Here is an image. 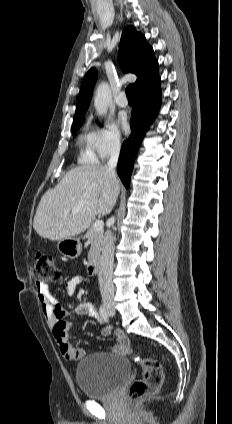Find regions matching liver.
Masks as SVG:
<instances>
[{
  "label": "liver",
  "mask_w": 232,
  "mask_h": 424,
  "mask_svg": "<svg viewBox=\"0 0 232 424\" xmlns=\"http://www.w3.org/2000/svg\"><path fill=\"white\" fill-rule=\"evenodd\" d=\"M104 166L71 169L40 200L33 221L35 231L52 241L84 232L97 215H108L119 194Z\"/></svg>",
  "instance_id": "liver-1"
}]
</instances>
